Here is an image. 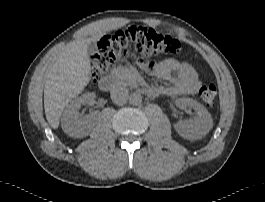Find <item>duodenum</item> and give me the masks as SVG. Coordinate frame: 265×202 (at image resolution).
Masks as SVG:
<instances>
[{"label":"duodenum","instance_id":"1","mask_svg":"<svg viewBox=\"0 0 265 202\" xmlns=\"http://www.w3.org/2000/svg\"><path fill=\"white\" fill-rule=\"evenodd\" d=\"M98 86L101 90L110 91L115 87V77L112 75L105 76L100 79ZM141 92L146 95H153L156 93V89L149 86L141 88Z\"/></svg>","mask_w":265,"mask_h":202}]
</instances>
